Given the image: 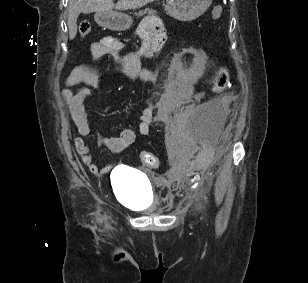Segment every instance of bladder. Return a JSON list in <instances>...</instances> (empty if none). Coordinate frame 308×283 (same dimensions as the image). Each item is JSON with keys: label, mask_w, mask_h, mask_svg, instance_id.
Instances as JSON below:
<instances>
[{"label": "bladder", "mask_w": 308, "mask_h": 283, "mask_svg": "<svg viewBox=\"0 0 308 283\" xmlns=\"http://www.w3.org/2000/svg\"><path fill=\"white\" fill-rule=\"evenodd\" d=\"M114 193L124 205L140 211H150L155 198L149 179L128 167H116L111 173Z\"/></svg>", "instance_id": "1"}]
</instances>
